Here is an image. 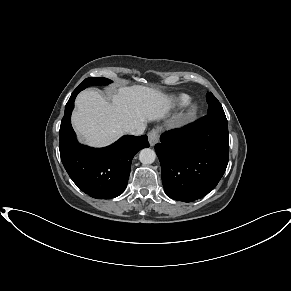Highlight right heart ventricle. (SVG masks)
I'll return each instance as SVG.
<instances>
[{"mask_svg": "<svg viewBox=\"0 0 291 291\" xmlns=\"http://www.w3.org/2000/svg\"><path fill=\"white\" fill-rule=\"evenodd\" d=\"M190 102V96L184 93L177 94L173 97V104L176 109L187 106Z\"/></svg>", "mask_w": 291, "mask_h": 291, "instance_id": "obj_1", "label": "right heart ventricle"}]
</instances>
